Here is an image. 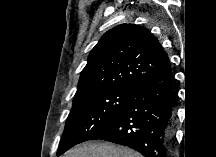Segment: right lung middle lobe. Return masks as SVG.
Returning a JSON list of instances; mask_svg holds the SVG:
<instances>
[{"mask_svg": "<svg viewBox=\"0 0 216 157\" xmlns=\"http://www.w3.org/2000/svg\"><path fill=\"white\" fill-rule=\"evenodd\" d=\"M132 87L95 91L73 100L57 155L72 146L91 140L108 127L128 103Z\"/></svg>", "mask_w": 216, "mask_h": 157, "instance_id": "right-lung-middle-lobe-1", "label": "right lung middle lobe"}]
</instances>
